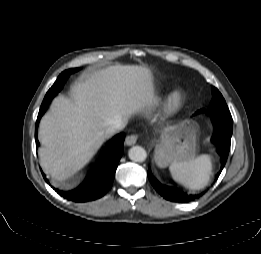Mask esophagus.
<instances>
[{"instance_id": "34e87169", "label": "esophagus", "mask_w": 261, "mask_h": 254, "mask_svg": "<svg viewBox=\"0 0 261 254\" xmlns=\"http://www.w3.org/2000/svg\"><path fill=\"white\" fill-rule=\"evenodd\" d=\"M138 140V135H128L125 139V143L128 146L134 145Z\"/></svg>"}]
</instances>
